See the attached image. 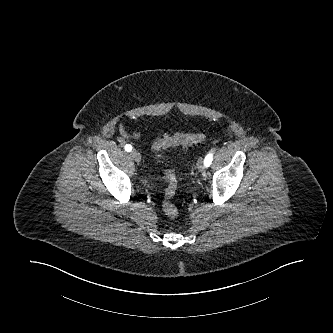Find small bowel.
<instances>
[{"mask_svg": "<svg viewBox=\"0 0 333 333\" xmlns=\"http://www.w3.org/2000/svg\"><path fill=\"white\" fill-rule=\"evenodd\" d=\"M121 133L124 137L129 138V139H134L137 137L136 133H128L123 126H121Z\"/></svg>", "mask_w": 333, "mask_h": 333, "instance_id": "c3829d8e", "label": "small bowel"}]
</instances>
